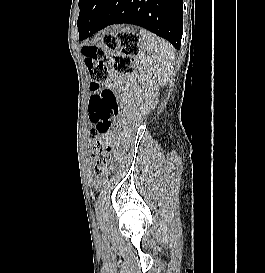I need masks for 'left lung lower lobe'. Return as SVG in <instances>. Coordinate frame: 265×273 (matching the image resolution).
<instances>
[{"label": "left lung lower lobe", "mask_w": 265, "mask_h": 273, "mask_svg": "<svg viewBox=\"0 0 265 273\" xmlns=\"http://www.w3.org/2000/svg\"><path fill=\"white\" fill-rule=\"evenodd\" d=\"M120 23L144 27L179 49L183 34L182 0H102L84 15L79 39Z\"/></svg>", "instance_id": "1"}]
</instances>
